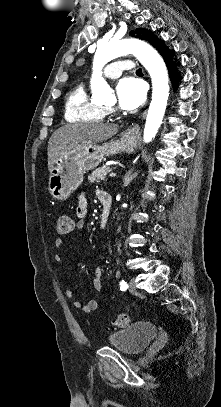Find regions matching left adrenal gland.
I'll list each match as a JSON object with an SVG mask.
<instances>
[{
  "label": "left adrenal gland",
  "instance_id": "left-adrenal-gland-1",
  "mask_svg": "<svg viewBox=\"0 0 221 407\" xmlns=\"http://www.w3.org/2000/svg\"><path fill=\"white\" fill-rule=\"evenodd\" d=\"M139 172L133 173V170H130L123 179V186L126 187L130 182L138 176Z\"/></svg>",
  "mask_w": 221,
  "mask_h": 407
}]
</instances>
